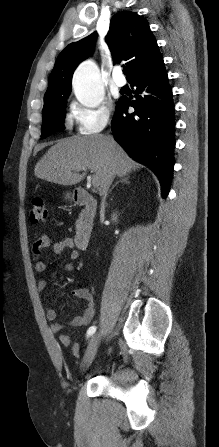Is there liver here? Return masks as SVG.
<instances>
[{"mask_svg":"<svg viewBox=\"0 0 219 447\" xmlns=\"http://www.w3.org/2000/svg\"><path fill=\"white\" fill-rule=\"evenodd\" d=\"M139 168L112 138L97 134L59 140L38 161L34 174L39 179L68 186L85 178V172L80 171L91 169L99 194L103 195L110 176L121 177Z\"/></svg>","mask_w":219,"mask_h":447,"instance_id":"obj_1","label":"liver"}]
</instances>
